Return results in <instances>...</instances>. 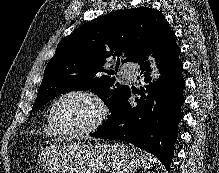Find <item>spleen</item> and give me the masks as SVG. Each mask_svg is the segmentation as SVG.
I'll list each match as a JSON object with an SVG mask.
<instances>
[{"instance_id":"3e777b00","label":"spleen","mask_w":219,"mask_h":173,"mask_svg":"<svg viewBox=\"0 0 219 173\" xmlns=\"http://www.w3.org/2000/svg\"><path fill=\"white\" fill-rule=\"evenodd\" d=\"M140 162L144 168H151L154 166V164L157 162V158L150 154H141L140 157Z\"/></svg>"}]
</instances>
